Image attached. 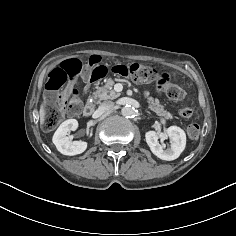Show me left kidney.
<instances>
[{
  "mask_svg": "<svg viewBox=\"0 0 236 236\" xmlns=\"http://www.w3.org/2000/svg\"><path fill=\"white\" fill-rule=\"evenodd\" d=\"M165 137H169L172 140L170 148L167 149H164L158 141ZM145 138L152 153L158 158L166 161L177 159L186 145V134L177 126H171L165 129L164 132L148 131L145 134Z\"/></svg>",
  "mask_w": 236,
  "mask_h": 236,
  "instance_id": "left-kidney-1",
  "label": "left kidney"
}]
</instances>
